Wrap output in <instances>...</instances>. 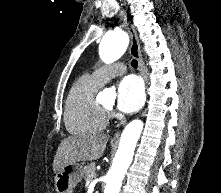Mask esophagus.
<instances>
[{
    "label": "esophagus",
    "mask_w": 221,
    "mask_h": 193,
    "mask_svg": "<svg viewBox=\"0 0 221 193\" xmlns=\"http://www.w3.org/2000/svg\"><path fill=\"white\" fill-rule=\"evenodd\" d=\"M127 27H128V32L130 35V54L137 59L138 61V68L140 71V74L142 75L146 85H147V77L145 75L144 69H143V63H142V58L140 54V45H139V40L137 36L136 29L133 24L130 22H127ZM120 136V131H117L114 134V139H117Z\"/></svg>",
    "instance_id": "1"
}]
</instances>
